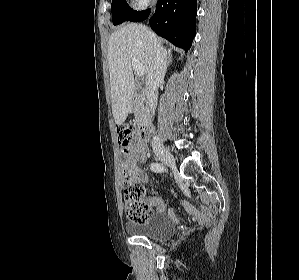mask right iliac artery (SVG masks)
Returning <instances> with one entry per match:
<instances>
[{"label": "right iliac artery", "instance_id": "82829eb1", "mask_svg": "<svg viewBox=\"0 0 299 280\" xmlns=\"http://www.w3.org/2000/svg\"><path fill=\"white\" fill-rule=\"evenodd\" d=\"M150 168L154 172H163L164 171V166L159 163H151Z\"/></svg>", "mask_w": 299, "mask_h": 280}]
</instances>
